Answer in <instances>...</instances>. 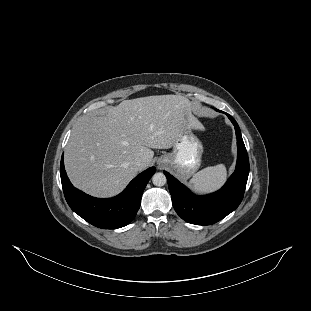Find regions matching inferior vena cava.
Segmentation results:
<instances>
[{
    "label": "inferior vena cava",
    "instance_id": "obj_1",
    "mask_svg": "<svg viewBox=\"0 0 311 311\" xmlns=\"http://www.w3.org/2000/svg\"><path fill=\"white\" fill-rule=\"evenodd\" d=\"M141 163H142L141 158H137V159L135 160V164H136L137 166H140Z\"/></svg>",
    "mask_w": 311,
    "mask_h": 311
}]
</instances>
